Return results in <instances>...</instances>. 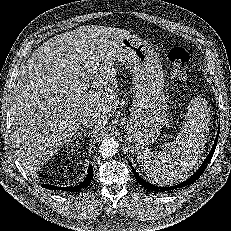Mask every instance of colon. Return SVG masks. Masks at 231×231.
<instances>
[{
  "label": "colon",
  "instance_id": "colon-1",
  "mask_svg": "<svg viewBox=\"0 0 231 231\" xmlns=\"http://www.w3.org/2000/svg\"><path fill=\"white\" fill-rule=\"evenodd\" d=\"M169 60L173 66L174 76L178 81H185L188 77L190 55L188 51L181 47H172L168 54Z\"/></svg>",
  "mask_w": 231,
  "mask_h": 231
}]
</instances>
